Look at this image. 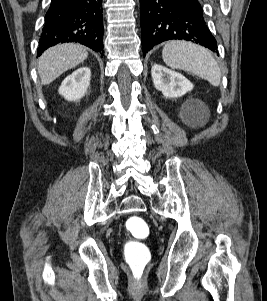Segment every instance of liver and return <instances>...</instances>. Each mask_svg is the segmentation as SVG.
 I'll use <instances>...</instances> for the list:
<instances>
[{"label":"liver","instance_id":"1","mask_svg":"<svg viewBox=\"0 0 267 301\" xmlns=\"http://www.w3.org/2000/svg\"><path fill=\"white\" fill-rule=\"evenodd\" d=\"M87 57L88 51L79 44L64 43L47 49L38 61L41 84L52 83L67 70L84 62Z\"/></svg>","mask_w":267,"mask_h":301}]
</instances>
